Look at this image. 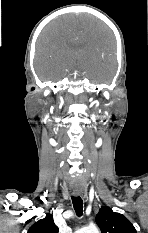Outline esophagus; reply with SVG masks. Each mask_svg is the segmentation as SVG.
I'll use <instances>...</instances> for the list:
<instances>
[{
	"instance_id": "1",
	"label": "esophagus",
	"mask_w": 148,
	"mask_h": 233,
	"mask_svg": "<svg viewBox=\"0 0 148 233\" xmlns=\"http://www.w3.org/2000/svg\"><path fill=\"white\" fill-rule=\"evenodd\" d=\"M82 192L81 191H79V190H74L73 191V194L75 195V196H78V195H80Z\"/></svg>"
}]
</instances>
